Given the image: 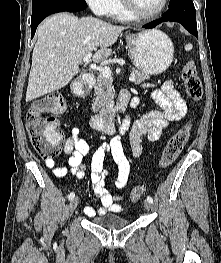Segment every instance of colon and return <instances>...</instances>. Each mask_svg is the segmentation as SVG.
<instances>
[{"label": "colon", "mask_w": 221, "mask_h": 263, "mask_svg": "<svg viewBox=\"0 0 221 263\" xmlns=\"http://www.w3.org/2000/svg\"><path fill=\"white\" fill-rule=\"evenodd\" d=\"M182 79L190 100L200 101L203 95L202 82L191 62L183 67ZM65 108L66 102L61 93H49L38 98L27 113L30 142L43 159H53L61 151L64 135L54 115L62 113ZM190 131V126L185 125L170 138L161 154L160 167L166 168L176 160L187 143ZM143 196L144 190L141 187H135L130 193L129 200L137 202Z\"/></svg>", "instance_id": "colon-1"}]
</instances>
